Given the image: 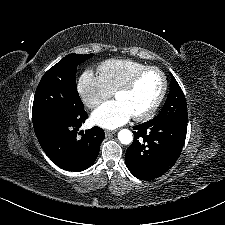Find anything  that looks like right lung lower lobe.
<instances>
[{
  "label": "right lung lower lobe",
  "instance_id": "obj_1",
  "mask_svg": "<svg viewBox=\"0 0 225 225\" xmlns=\"http://www.w3.org/2000/svg\"><path fill=\"white\" fill-rule=\"evenodd\" d=\"M84 108L66 111L50 117L34 127L37 139L50 160L58 167L73 172L89 168L96 160L105 137L103 129L95 126L77 137V131L87 119Z\"/></svg>",
  "mask_w": 225,
  "mask_h": 225
}]
</instances>
